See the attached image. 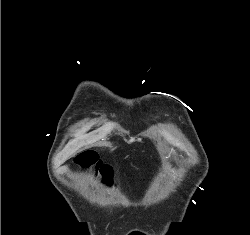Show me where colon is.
I'll list each match as a JSON object with an SVG mask.
<instances>
[{
  "label": "colon",
  "mask_w": 250,
  "mask_h": 235,
  "mask_svg": "<svg viewBox=\"0 0 250 235\" xmlns=\"http://www.w3.org/2000/svg\"><path fill=\"white\" fill-rule=\"evenodd\" d=\"M75 164L82 169L95 167L97 173L99 172L106 181H111L113 177L110 166L100 163L97 156L92 153H83L77 156L75 159Z\"/></svg>",
  "instance_id": "1"
}]
</instances>
